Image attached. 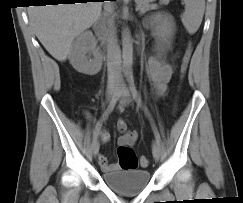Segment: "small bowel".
Here are the masks:
<instances>
[{
    "instance_id": "obj_1",
    "label": "small bowel",
    "mask_w": 243,
    "mask_h": 203,
    "mask_svg": "<svg viewBox=\"0 0 243 203\" xmlns=\"http://www.w3.org/2000/svg\"><path fill=\"white\" fill-rule=\"evenodd\" d=\"M145 69L150 81L154 84L157 94L162 96L167 90V84L172 78L174 73V66L172 63L157 57L149 56L145 63ZM126 108L125 104L119 106V111L123 112ZM101 134V139L103 142H108L110 139L109 132L102 126L101 123H98L97 126ZM117 130L121 133L118 144L133 146L138 139V131L127 130V124L124 120L120 119L117 122ZM98 162L102 170L105 172H112L119 169L118 163H109L105 155L100 154L98 156Z\"/></svg>"
}]
</instances>
